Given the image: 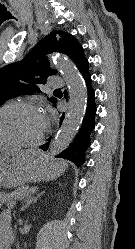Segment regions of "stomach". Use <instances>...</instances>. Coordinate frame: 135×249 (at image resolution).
I'll use <instances>...</instances> for the list:
<instances>
[{"mask_svg": "<svg viewBox=\"0 0 135 249\" xmlns=\"http://www.w3.org/2000/svg\"><path fill=\"white\" fill-rule=\"evenodd\" d=\"M65 168L61 161H48L36 149L0 148V187L15 188L27 182L54 179Z\"/></svg>", "mask_w": 135, "mask_h": 249, "instance_id": "0dacf381", "label": "stomach"}]
</instances>
